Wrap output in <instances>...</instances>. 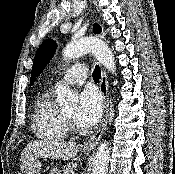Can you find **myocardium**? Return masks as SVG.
<instances>
[{
  "label": "myocardium",
  "instance_id": "obj_1",
  "mask_svg": "<svg viewBox=\"0 0 175 174\" xmlns=\"http://www.w3.org/2000/svg\"><path fill=\"white\" fill-rule=\"evenodd\" d=\"M62 115H63V119H64V122H65L66 126L68 128H70L71 130L76 131V127L73 124L72 119L70 117H68L67 115H65L64 113H62Z\"/></svg>",
  "mask_w": 175,
  "mask_h": 174
}]
</instances>
